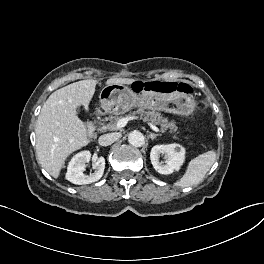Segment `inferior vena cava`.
Returning a JSON list of instances; mask_svg holds the SVG:
<instances>
[{
  "instance_id": "1",
  "label": "inferior vena cava",
  "mask_w": 264,
  "mask_h": 264,
  "mask_svg": "<svg viewBox=\"0 0 264 264\" xmlns=\"http://www.w3.org/2000/svg\"><path fill=\"white\" fill-rule=\"evenodd\" d=\"M118 139L117 135L114 133L101 135L98 139V143L101 146H108L114 143Z\"/></svg>"
}]
</instances>
